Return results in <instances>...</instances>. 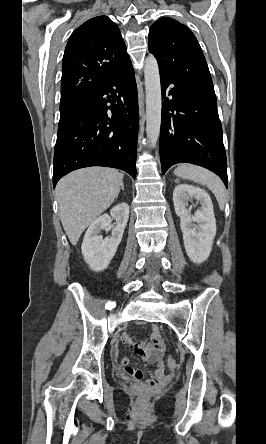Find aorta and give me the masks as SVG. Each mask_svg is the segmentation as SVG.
I'll use <instances>...</instances> for the list:
<instances>
[{"label": "aorta", "instance_id": "762f6f07", "mask_svg": "<svg viewBox=\"0 0 266 444\" xmlns=\"http://www.w3.org/2000/svg\"><path fill=\"white\" fill-rule=\"evenodd\" d=\"M144 78L146 90V134L150 146L154 147L160 134L162 98L159 67L153 55H149L145 60Z\"/></svg>", "mask_w": 266, "mask_h": 444}]
</instances>
